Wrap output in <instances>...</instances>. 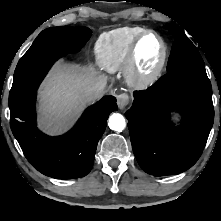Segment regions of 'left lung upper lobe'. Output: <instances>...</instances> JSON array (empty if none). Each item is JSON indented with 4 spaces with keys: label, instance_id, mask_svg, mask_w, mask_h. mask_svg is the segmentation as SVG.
<instances>
[{
    "label": "left lung upper lobe",
    "instance_id": "1",
    "mask_svg": "<svg viewBox=\"0 0 221 221\" xmlns=\"http://www.w3.org/2000/svg\"><path fill=\"white\" fill-rule=\"evenodd\" d=\"M174 38L171 55L168 60L167 73L188 71L206 75L205 64L198 49L176 24L165 26Z\"/></svg>",
    "mask_w": 221,
    "mask_h": 221
}]
</instances>
